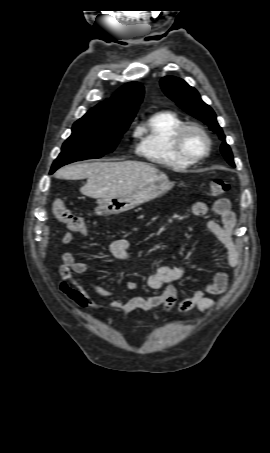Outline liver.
<instances>
[{"label":"liver","mask_w":270,"mask_h":453,"mask_svg":"<svg viewBox=\"0 0 270 453\" xmlns=\"http://www.w3.org/2000/svg\"><path fill=\"white\" fill-rule=\"evenodd\" d=\"M55 177L67 180L87 178L80 192L96 199L125 196L154 182L168 179L157 168L138 161L67 165L57 170Z\"/></svg>","instance_id":"1"}]
</instances>
